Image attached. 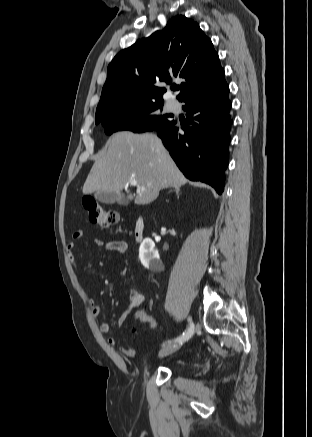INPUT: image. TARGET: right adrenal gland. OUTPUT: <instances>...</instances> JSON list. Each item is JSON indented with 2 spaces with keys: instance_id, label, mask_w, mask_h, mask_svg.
<instances>
[{
  "instance_id": "right-adrenal-gland-1",
  "label": "right adrenal gland",
  "mask_w": 312,
  "mask_h": 437,
  "mask_svg": "<svg viewBox=\"0 0 312 437\" xmlns=\"http://www.w3.org/2000/svg\"><path fill=\"white\" fill-rule=\"evenodd\" d=\"M174 190H175L176 194L179 195L180 187H175Z\"/></svg>"
}]
</instances>
